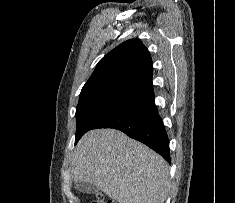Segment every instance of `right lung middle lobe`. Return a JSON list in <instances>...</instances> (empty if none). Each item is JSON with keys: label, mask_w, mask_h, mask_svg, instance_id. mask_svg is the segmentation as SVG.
<instances>
[{"label": "right lung middle lobe", "mask_w": 235, "mask_h": 203, "mask_svg": "<svg viewBox=\"0 0 235 203\" xmlns=\"http://www.w3.org/2000/svg\"><path fill=\"white\" fill-rule=\"evenodd\" d=\"M149 89L129 83H107L82 89L76 108L75 144L100 120L142 97Z\"/></svg>", "instance_id": "dd1d6c3e"}]
</instances>
